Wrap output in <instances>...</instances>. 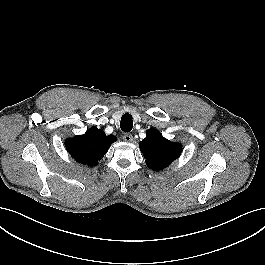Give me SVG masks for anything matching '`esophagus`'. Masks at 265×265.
I'll use <instances>...</instances> for the list:
<instances>
[{
    "instance_id": "esophagus-1",
    "label": "esophagus",
    "mask_w": 265,
    "mask_h": 265,
    "mask_svg": "<svg viewBox=\"0 0 265 265\" xmlns=\"http://www.w3.org/2000/svg\"><path fill=\"white\" fill-rule=\"evenodd\" d=\"M123 140L130 143L133 141V136L127 133L123 136Z\"/></svg>"
}]
</instances>
